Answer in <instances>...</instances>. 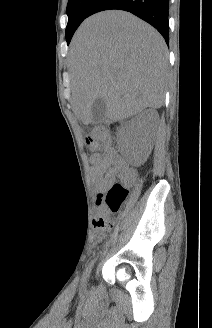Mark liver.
Segmentation results:
<instances>
[{"instance_id": "1", "label": "liver", "mask_w": 212, "mask_h": 328, "mask_svg": "<svg viewBox=\"0 0 212 328\" xmlns=\"http://www.w3.org/2000/svg\"><path fill=\"white\" fill-rule=\"evenodd\" d=\"M68 60L71 104L84 124L92 123L97 98L105 100V117L112 121L163 105L165 41L130 13L109 10L87 18L71 41Z\"/></svg>"}]
</instances>
